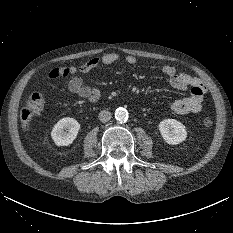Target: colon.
Wrapping results in <instances>:
<instances>
[{
  "instance_id": "1",
  "label": "colon",
  "mask_w": 233,
  "mask_h": 233,
  "mask_svg": "<svg viewBox=\"0 0 233 233\" xmlns=\"http://www.w3.org/2000/svg\"><path fill=\"white\" fill-rule=\"evenodd\" d=\"M44 108V98L39 93L31 94L26 100L25 106L20 111V120L24 127H28L31 119L41 114ZM205 127L213 124L211 118L206 117L202 120Z\"/></svg>"
}]
</instances>
